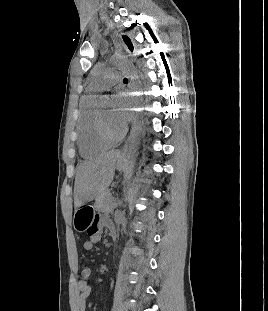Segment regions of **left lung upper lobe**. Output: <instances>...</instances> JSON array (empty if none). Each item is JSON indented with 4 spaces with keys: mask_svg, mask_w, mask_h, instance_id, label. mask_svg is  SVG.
Returning a JSON list of instances; mask_svg holds the SVG:
<instances>
[{
    "mask_svg": "<svg viewBox=\"0 0 268 311\" xmlns=\"http://www.w3.org/2000/svg\"><path fill=\"white\" fill-rule=\"evenodd\" d=\"M123 40L126 43V45L128 46V48L133 51V44L131 43V40L128 36H123Z\"/></svg>",
    "mask_w": 268,
    "mask_h": 311,
    "instance_id": "obj_1",
    "label": "left lung upper lobe"
}]
</instances>
